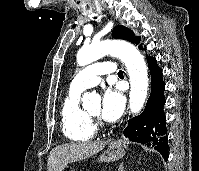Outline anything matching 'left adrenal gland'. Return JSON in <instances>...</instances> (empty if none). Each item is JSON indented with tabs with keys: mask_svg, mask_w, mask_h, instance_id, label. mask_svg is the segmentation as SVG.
I'll return each instance as SVG.
<instances>
[{
	"mask_svg": "<svg viewBox=\"0 0 199 171\" xmlns=\"http://www.w3.org/2000/svg\"><path fill=\"white\" fill-rule=\"evenodd\" d=\"M118 171H124V170H123V163L120 164L119 170H118Z\"/></svg>",
	"mask_w": 199,
	"mask_h": 171,
	"instance_id": "a2214340",
	"label": "left adrenal gland"
}]
</instances>
